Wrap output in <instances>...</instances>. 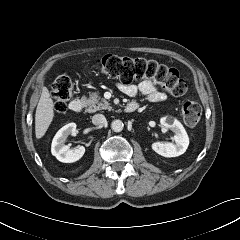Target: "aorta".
Returning <instances> with one entry per match:
<instances>
[{"mask_svg": "<svg viewBox=\"0 0 240 240\" xmlns=\"http://www.w3.org/2000/svg\"><path fill=\"white\" fill-rule=\"evenodd\" d=\"M123 127H124V124L121 120H114L112 121L111 123V129L114 131V132H121L123 130Z\"/></svg>", "mask_w": 240, "mask_h": 240, "instance_id": "1", "label": "aorta"}]
</instances>
